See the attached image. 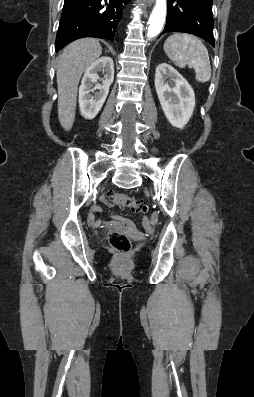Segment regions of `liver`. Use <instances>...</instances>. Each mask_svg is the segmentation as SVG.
<instances>
[{
    "label": "liver",
    "instance_id": "liver-1",
    "mask_svg": "<svg viewBox=\"0 0 254 397\" xmlns=\"http://www.w3.org/2000/svg\"><path fill=\"white\" fill-rule=\"evenodd\" d=\"M101 54L102 47L97 39L84 38L67 45L58 56V118L66 131H69L74 123L80 78Z\"/></svg>",
    "mask_w": 254,
    "mask_h": 397
}]
</instances>
